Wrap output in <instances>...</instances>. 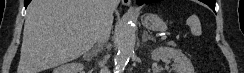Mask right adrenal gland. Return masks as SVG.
<instances>
[{
  "label": "right adrenal gland",
  "mask_w": 244,
  "mask_h": 73,
  "mask_svg": "<svg viewBox=\"0 0 244 73\" xmlns=\"http://www.w3.org/2000/svg\"><path fill=\"white\" fill-rule=\"evenodd\" d=\"M101 49H102V45L96 46L95 48L92 49V55L96 56Z\"/></svg>",
  "instance_id": "obj_1"
}]
</instances>
